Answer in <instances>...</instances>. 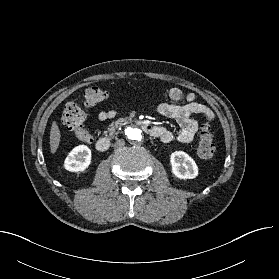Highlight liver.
<instances>
[{
  "mask_svg": "<svg viewBox=\"0 0 279 279\" xmlns=\"http://www.w3.org/2000/svg\"><path fill=\"white\" fill-rule=\"evenodd\" d=\"M61 133L56 121L52 122L50 131V151L54 154L59 147Z\"/></svg>",
  "mask_w": 279,
  "mask_h": 279,
  "instance_id": "1",
  "label": "liver"
}]
</instances>
